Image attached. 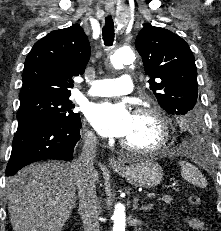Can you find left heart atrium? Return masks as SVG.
<instances>
[{
    "mask_svg": "<svg viewBox=\"0 0 221 231\" xmlns=\"http://www.w3.org/2000/svg\"><path fill=\"white\" fill-rule=\"evenodd\" d=\"M87 117L100 135L123 138L132 128L134 115L125 104L106 101L93 104Z\"/></svg>",
    "mask_w": 221,
    "mask_h": 231,
    "instance_id": "39dd6f15",
    "label": "left heart atrium"
}]
</instances>
